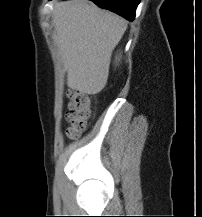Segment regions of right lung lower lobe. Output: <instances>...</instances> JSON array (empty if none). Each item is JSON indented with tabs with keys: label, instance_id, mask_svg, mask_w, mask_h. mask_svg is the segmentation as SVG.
I'll return each mask as SVG.
<instances>
[{
	"label": "right lung lower lobe",
	"instance_id": "98d812e1",
	"mask_svg": "<svg viewBox=\"0 0 202 217\" xmlns=\"http://www.w3.org/2000/svg\"><path fill=\"white\" fill-rule=\"evenodd\" d=\"M99 7L115 12L129 21L135 18L140 0H91Z\"/></svg>",
	"mask_w": 202,
	"mask_h": 217
}]
</instances>
